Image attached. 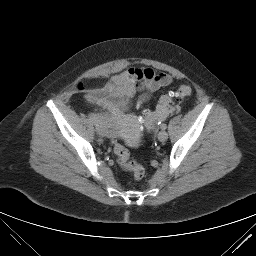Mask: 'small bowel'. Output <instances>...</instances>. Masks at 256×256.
Masks as SVG:
<instances>
[{"label":"small bowel","instance_id":"c3829d8e","mask_svg":"<svg viewBox=\"0 0 256 256\" xmlns=\"http://www.w3.org/2000/svg\"><path fill=\"white\" fill-rule=\"evenodd\" d=\"M172 82V76L156 74L150 68H129L116 74L101 88L88 94L90 103L109 111L116 122L131 118L130 108L138 91H156ZM174 108H157L155 118L162 121L175 113Z\"/></svg>","mask_w":256,"mask_h":256}]
</instances>
